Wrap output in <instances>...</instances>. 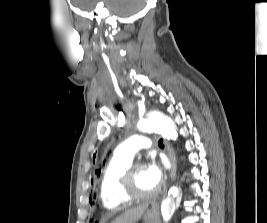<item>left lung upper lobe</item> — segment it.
<instances>
[{"label": "left lung upper lobe", "instance_id": "5c2ea615", "mask_svg": "<svg viewBox=\"0 0 267 223\" xmlns=\"http://www.w3.org/2000/svg\"><path fill=\"white\" fill-rule=\"evenodd\" d=\"M95 173L97 174V175H99L100 174V170H96L95 171ZM89 214H100V209H89Z\"/></svg>", "mask_w": 267, "mask_h": 223}]
</instances>
